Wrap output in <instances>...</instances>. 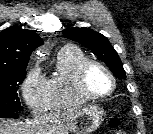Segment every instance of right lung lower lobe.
I'll use <instances>...</instances> for the list:
<instances>
[{
	"mask_svg": "<svg viewBox=\"0 0 153 134\" xmlns=\"http://www.w3.org/2000/svg\"><path fill=\"white\" fill-rule=\"evenodd\" d=\"M0 117H6V118H17V114L15 112H5L0 111Z\"/></svg>",
	"mask_w": 153,
	"mask_h": 134,
	"instance_id": "1",
	"label": "right lung lower lobe"
}]
</instances>
